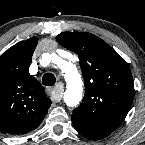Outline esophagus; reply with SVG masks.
Listing matches in <instances>:
<instances>
[{"mask_svg":"<svg viewBox=\"0 0 145 145\" xmlns=\"http://www.w3.org/2000/svg\"><path fill=\"white\" fill-rule=\"evenodd\" d=\"M48 91H49V94H50L51 98L55 102H59L62 99L63 86L61 84H58L54 88H48Z\"/></svg>","mask_w":145,"mask_h":145,"instance_id":"34e87169","label":"esophagus"}]
</instances>
